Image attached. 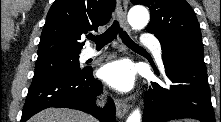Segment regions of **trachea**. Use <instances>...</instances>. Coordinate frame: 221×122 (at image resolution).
Wrapping results in <instances>:
<instances>
[{
    "instance_id": "trachea-1",
    "label": "trachea",
    "mask_w": 221,
    "mask_h": 122,
    "mask_svg": "<svg viewBox=\"0 0 221 122\" xmlns=\"http://www.w3.org/2000/svg\"><path fill=\"white\" fill-rule=\"evenodd\" d=\"M117 34H119L124 44L128 47L136 50H144L141 46L136 44L128 34L122 30V28H120L118 21H114L111 27H109L103 34L97 36L90 35L87 38L94 41L97 47H104L116 38Z\"/></svg>"
}]
</instances>
